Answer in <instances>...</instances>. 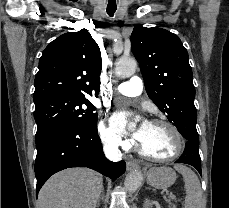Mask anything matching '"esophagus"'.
<instances>
[{
	"label": "esophagus",
	"instance_id": "34e87169",
	"mask_svg": "<svg viewBox=\"0 0 229 208\" xmlns=\"http://www.w3.org/2000/svg\"><path fill=\"white\" fill-rule=\"evenodd\" d=\"M126 166L128 171H134L136 168H138V163H136V161L129 160L126 163Z\"/></svg>",
	"mask_w": 229,
	"mask_h": 208
}]
</instances>
